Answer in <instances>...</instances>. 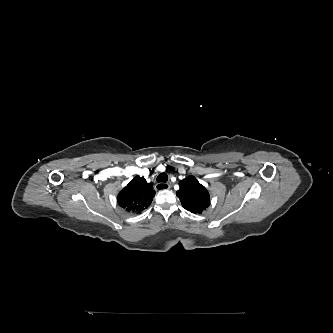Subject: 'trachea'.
I'll return each mask as SVG.
<instances>
[{"instance_id": "obj_1", "label": "trachea", "mask_w": 333, "mask_h": 333, "mask_svg": "<svg viewBox=\"0 0 333 333\" xmlns=\"http://www.w3.org/2000/svg\"><path fill=\"white\" fill-rule=\"evenodd\" d=\"M167 180H168V175L164 172L159 174L158 177H157V182L165 183V182H167Z\"/></svg>"}]
</instances>
